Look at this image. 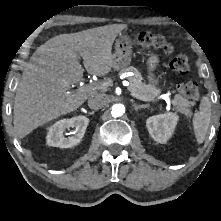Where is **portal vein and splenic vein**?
<instances>
[{
    "mask_svg": "<svg viewBox=\"0 0 221 221\" xmlns=\"http://www.w3.org/2000/svg\"><path fill=\"white\" fill-rule=\"evenodd\" d=\"M96 89H99V85L93 83V84H88V85H82V86L78 87L77 91L90 92V91H94ZM131 95L136 97L137 99L144 100V101L153 100V99H146L143 97H137V96H135V94H131ZM159 98L165 100L167 102V104H171V100H170L168 94H162L159 96Z\"/></svg>",
    "mask_w": 221,
    "mask_h": 221,
    "instance_id": "obj_1",
    "label": "portal vein and splenic vein"
}]
</instances>
